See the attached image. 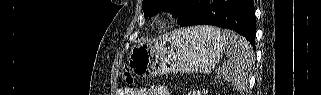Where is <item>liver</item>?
<instances>
[{
	"label": "liver",
	"instance_id": "liver-1",
	"mask_svg": "<svg viewBox=\"0 0 321 95\" xmlns=\"http://www.w3.org/2000/svg\"><path fill=\"white\" fill-rule=\"evenodd\" d=\"M193 30H195V31H198V32H200L201 34H204V32H203V29L201 28V27H194V28H192ZM205 35V34H204ZM207 36V35H206Z\"/></svg>",
	"mask_w": 321,
	"mask_h": 95
}]
</instances>
